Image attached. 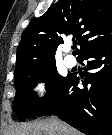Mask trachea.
<instances>
[{
    "mask_svg": "<svg viewBox=\"0 0 112 135\" xmlns=\"http://www.w3.org/2000/svg\"><path fill=\"white\" fill-rule=\"evenodd\" d=\"M77 47H76V45L74 44L73 46H72V49L73 50H75ZM76 52V51H75Z\"/></svg>",
    "mask_w": 112,
    "mask_h": 135,
    "instance_id": "obj_1",
    "label": "trachea"
}]
</instances>
